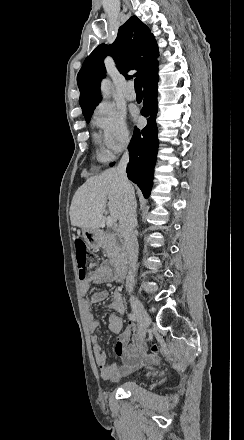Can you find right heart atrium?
Wrapping results in <instances>:
<instances>
[{"instance_id":"1","label":"right heart atrium","mask_w":244,"mask_h":440,"mask_svg":"<svg viewBox=\"0 0 244 440\" xmlns=\"http://www.w3.org/2000/svg\"><path fill=\"white\" fill-rule=\"evenodd\" d=\"M92 124L100 132L101 145L108 156L120 153L129 143L125 114L108 101L99 103L93 111Z\"/></svg>"}]
</instances>
